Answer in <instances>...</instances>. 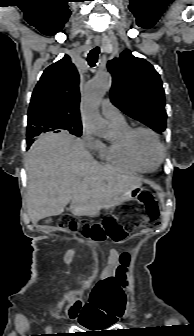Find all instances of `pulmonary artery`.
<instances>
[{
	"instance_id": "obj_1",
	"label": "pulmonary artery",
	"mask_w": 194,
	"mask_h": 336,
	"mask_svg": "<svg viewBox=\"0 0 194 336\" xmlns=\"http://www.w3.org/2000/svg\"><path fill=\"white\" fill-rule=\"evenodd\" d=\"M101 111L111 124H121L125 122L123 115L107 98L101 102Z\"/></svg>"
}]
</instances>
